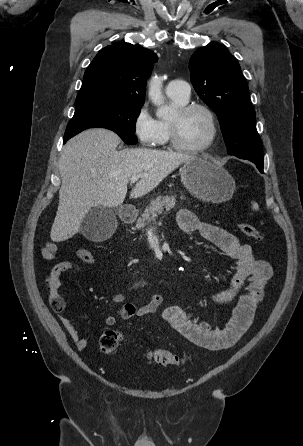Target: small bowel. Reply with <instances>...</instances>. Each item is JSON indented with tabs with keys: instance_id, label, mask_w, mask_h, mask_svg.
Returning <instances> with one entry per match:
<instances>
[{
	"instance_id": "c3829d8e",
	"label": "small bowel",
	"mask_w": 303,
	"mask_h": 446,
	"mask_svg": "<svg viewBox=\"0 0 303 446\" xmlns=\"http://www.w3.org/2000/svg\"><path fill=\"white\" fill-rule=\"evenodd\" d=\"M177 222L184 232L199 235L234 260L235 273L229 288L212 295L210 300L217 305L230 303L235 305L230 321L222 329L212 328L207 322L197 320L178 305L167 307L163 312V318L180 335L201 348L213 351L231 348L251 325L256 307L263 299L266 283L272 276V267L267 261L257 259L252 247L241 243L234 234L222 227L200 220L187 209H181L178 212ZM56 253L57 245L54 242H46L41 249V255L46 260L55 259ZM68 271H81V268L71 261H62L52 267L46 277L50 288L49 299L61 324L76 343L78 350L83 351L88 347V341L81 337L77 328L66 316V304L58 292L61 286L60 276ZM112 301L121 304L118 310L120 318L144 319L162 305L163 296L153 293L149 301L140 307L128 302L123 293L114 294ZM116 320L115 315H107L105 324L113 326Z\"/></svg>"
}]
</instances>
